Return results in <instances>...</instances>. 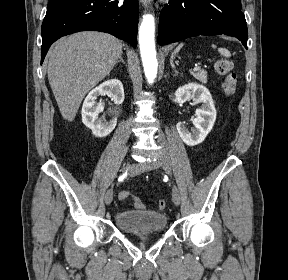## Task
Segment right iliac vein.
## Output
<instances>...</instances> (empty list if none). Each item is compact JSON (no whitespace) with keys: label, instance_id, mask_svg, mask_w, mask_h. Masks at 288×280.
<instances>
[{"label":"right iliac vein","instance_id":"63e3f726","mask_svg":"<svg viewBox=\"0 0 288 280\" xmlns=\"http://www.w3.org/2000/svg\"><path fill=\"white\" fill-rule=\"evenodd\" d=\"M130 168H132V167L129 166V165H126V166L124 167V170L130 169ZM104 200H105L106 205H110V203H111L112 200H113V189H112V188H109V189L106 191Z\"/></svg>","mask_w":288,"mask_h":280}]
</instances>
